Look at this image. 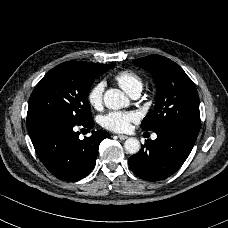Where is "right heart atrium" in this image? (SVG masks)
<instances>
[{
    "mask_svg": "<svg viewBox=\"0 0 228 228\" xmlns=\"http://www.w3.org/2000/svg\"><path fill=\"white\" fill-rule=\"evenodd\" d=\"M106 88L104 80H98L90 87L87 92V101L93 108H100L103 104V94Z\"/></svg>",
    "mask_w": 228,
    "mask_h": 228,
    "instance_id": "1",
    "label": "right heart atrium"
}]
</instances>
